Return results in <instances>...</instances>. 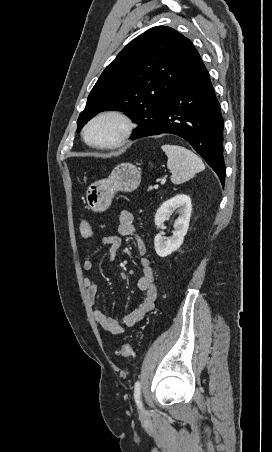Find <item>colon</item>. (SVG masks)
<instances>
[{
  "label": "colon",
  "instance_id": "5ec220e1",
  "mask_svg": "<svg viewBox=\"0 0 272 452\" xmlns=\"http://www.w3.org/2000/svg\"><path fill=\"white\" fill-rule=\"evenodd\" d=\"M80 232L84 238H90L93 235V229L87 220H82L80 222ZM117 354L122 358H131L134 355V349L131 344H124L118 351Z\"/></svg>",
  "mask_w": 272,
  "mask_h": 452
}]
</instances>
